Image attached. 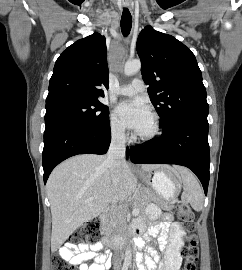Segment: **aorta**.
I'll return each instance as SVG.
<instances>
[{
  "label": "aorta",
  "mask_w": 242,
  "mask_h": 270,
  "mask_svg": "<svg viewBox=\"0 0 242 270\" xmlns=\"http://www.w3.org/2000/svg\"><path fill=\"white\" fill-rule=\"evenodd\" d=\"M141 69V61L138 59L132 60V61H127L125 66H124V74L126 76H132L139 72ZM126 256L131 257V250L130 247L127 248L126 250Z\"/></svg>",
  "instance_id": "762f6f07"
}]
</instances>
